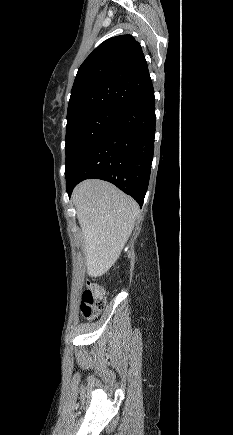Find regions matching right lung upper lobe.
<instances>
[{
  "mask_svg": "<svg viewBox=\"0 0 233 435\" xmlns=\"http://www.w3.org/2000/svg\"><path fill=\"white\" fill-rule=\"evenodd\" d=\"M151 87L140 44L131 35L112 37L101 43L78 69L67 119L101 108L123 112Z\"/></svg>",
  "mask_w": 233,
  "mask_h": 435,
  "instance_id": "cb5924a9",
  "label": "right lung upper lobe"
}]
</instances>
